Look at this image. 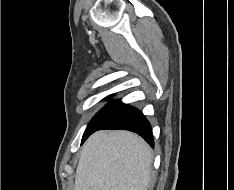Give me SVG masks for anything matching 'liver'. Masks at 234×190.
I'll return each instance as SVG.
<instances>
[{
  "instance_id": "obj_1",
  "label": "liver",
  "mask_w": 234,
  "mask_h": 190,
  "mask_svg": "<svg viewBox=\"0 0 234 190\" xmlns=\"http://www.w3.org/2000/svg\"><path fill=\"white\" fill-rule=\"evenodd\" d=\"M149 145L129 131H98L85 142L74 190H147Z\"/></svg>"
}]
</instances>
